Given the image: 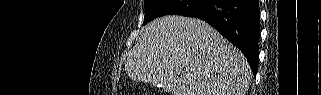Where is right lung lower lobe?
I'll list each match as a JSON object with an SVG mask.
<instances>
[{"label": "right lung lower lobe", "instance_id": "right-lung-lower-lobe-1", "mask_svg": "<svg viewBox=\"0 0 321 95\" xmlns=\"http://www.w3.org/2000/svg\"><path fill=\"white\" fill-rule=\"evenodd\" d=\"M187 17L202 19L213 26L241 50L256 74L260 37L258 0H207Z\"/></svg>", "mask_w": 321, "mask_h": 95}]
</instances>
